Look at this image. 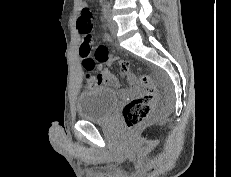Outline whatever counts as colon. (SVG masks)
<instances>
[{"label": "colon", "instance_id": "1", "mask_svg": "<svg viewBox=\"0 0 231 177\" xmlns=\"http://www.w3.org/2000/svg\"><path fill=\"white\" fill-rule=\"evenodd\" d=\"M77 27L83 37L80 46V55L83 59V67L87 71L85 76L87 85L92 86L97 84L98 77L91 74L97 62H116L123 73L130 72L131 67L129 62L119 57L111 56L107 49L102 46L94 47L92 11L89 7L80 12L77 19ZM136 78L142 91L139 96L128 101L122 109L124 122L130 129L144 122L157 97V88L149 75L141 73L138 74Z\"/></svg>", "mask_w": 231, "mask_h": 177}]
</instances>
